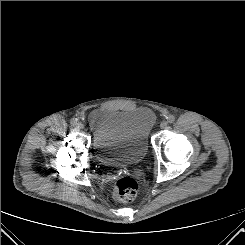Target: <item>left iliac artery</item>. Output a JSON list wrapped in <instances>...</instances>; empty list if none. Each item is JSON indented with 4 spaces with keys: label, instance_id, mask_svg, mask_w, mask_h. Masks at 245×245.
<instances>
[{
    "label": "left iliac artery",
    "instance_id": "left-iliac-artery-1",
    "mask_svg": "<svg viewBox=\"0 0 245 245\" xmlns=\"http://www.w3.org/2000/svg\"><path fill=\"white\" fill-rule=\"evenodd\" d=\"M167 121L169 122V123H173L174 121H175V117L173 116V115H169V116H167Z\"/></svg>",
    "mask_w": 245,
    "mask_h": 245
}]
</instances>
